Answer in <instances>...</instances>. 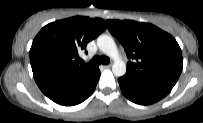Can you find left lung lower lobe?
Here are the masks:
<instances>
[{
  "label": "left lung lower lobe",
  "instance_id": "1",
  "mask_svg": "<svg viewBox=\"0 0 203 123\" xmlns=\"http://www.w3.org/2000/svg\"><path fill=\"white\" fill-rule=\"evenodd\" d=\"M122 93L132 102L140 105L153 104L164 98L171 87L125 74L118 79Z\"/></svg>",
  "mask_w": 203,
  "mask_h": 123
}]
</instances>
